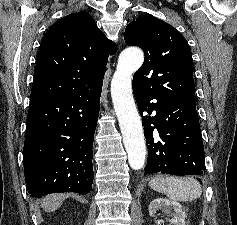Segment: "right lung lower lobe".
Instances as JSON below:
<instances>
[{
	"mask_svg": "<svg viewBox=\"0 0 237 225\" xmlns=\"http://www.w3.org/2000/svg\"><path fill=\"white\" fill-rule=\"evenodd\" d=\"M102 82L29 106L23 150L28 193H87L92 189L93 139Z\"/></svg>",
	"mask_w": 237,
	"mask_h": 225,
	"instance_id": "right-lung-lower-lobe-1",
	"label": "right lung lower lobe"
}]
</instances>
